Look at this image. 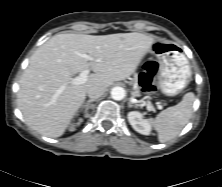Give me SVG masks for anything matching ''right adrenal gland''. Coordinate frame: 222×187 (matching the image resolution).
Segmentation results:
<instances>
[{"mask_svg": "<svg viewBox=\"0 0 222 187\" xmlns=\"http://www.w3.org/2000/svg\"><path fill=\"white\" fill-rule=\"evenodd\" d=\"M94 101H95V99H90V100L86 101V102L84 103V105H82V109H84V114H85L86 116H88V110H89V108H90V104H91L92 102H94Z\"/></svg>", "mask_w": 222, "mask_h": 187, "instance_id": "1", "label": "right adrenal gland"}]
</instances>
